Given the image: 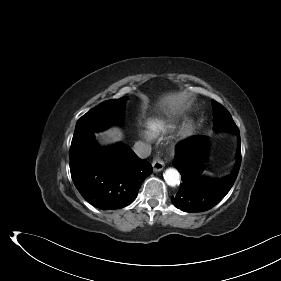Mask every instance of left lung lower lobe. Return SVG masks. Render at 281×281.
<instances>
[{
	"label": "left lung lower lobe",
	"mask_w": 281,
	"mask_h": 281,
	"mask_svg": "<svg viewBox=\"0 0 281 281\" xmlns=\"http://www.w3.org/2000/svg\"><path fill=\"white\" fill-rule=\"evenodd\" d=\"M236 168L226 178L215 181L202 175L208 155L206 136L196 135L182 142L176 149L174 166L182 176L179 192L172 197L173 204L184 212H202L219 203L233 186L241 164L239 130Z\"/></svg>",
	"instance_id": "0a47b994"
}]
</instances>
